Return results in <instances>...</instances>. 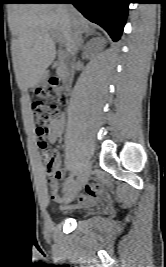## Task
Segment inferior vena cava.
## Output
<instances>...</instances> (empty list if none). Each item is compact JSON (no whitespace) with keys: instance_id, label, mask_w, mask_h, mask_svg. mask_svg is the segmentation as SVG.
Instances as JSON below:
<instances>
[{"instance_id":"602c4592","label":"inferior vena cava","mask_w":166,"mask_h":267,"mask_svg":"<svg viewBox=\"0 0 166 267\" xmlns=\"http://www.w3.org/2000/svg\"><path fill=\"white\" fill-rule=\"evenodd\" d=\"M72 43L76 50H78L82 43L81 32L76 26L73 28L72 31Z\"/></svg>"}]
</instances>
